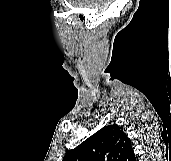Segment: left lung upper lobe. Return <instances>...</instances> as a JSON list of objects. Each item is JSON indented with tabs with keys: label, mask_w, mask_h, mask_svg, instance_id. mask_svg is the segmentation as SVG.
<instances>
[{
	"label": "left lung upper lobe",
	"mask_w": 171,
	"mask_h": 161,
	"mask_svg": "<svg viewBox=\"0 0 171 161\" xmlns=\"http://www.w3.org/2000/svg\"><path fill=\"white\" fill-rule=\"evenodd\" d=\"M134 156L130 139L114 124L101 128L69 150L63 161H131Z\"/></svg>",
	"instance_id": "left-lung-upper-lobe-1"
}]
</instances>
